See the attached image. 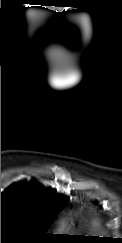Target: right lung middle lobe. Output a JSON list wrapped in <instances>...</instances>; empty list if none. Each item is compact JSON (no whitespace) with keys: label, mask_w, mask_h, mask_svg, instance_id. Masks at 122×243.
I'll list each match as a JSON object with an SVG mask.
<instances>
[{"label":"right lung middle lobe","mask_w":122,"mask_h":243,"mask_svg":"<svg viewBox=\"0 0 122 243\" xmlns=\"http://www.w3.org/2000/svg\"><path fill=\"white\" fill-rule=\"evenodd\" d=\"M62 207L43 208L19 200L1 201V234L24 232V234L43 239L48 237L45 231L52 225Z\"/></svg>","instance_id":"dd1d6c3e"}]
</instances>
